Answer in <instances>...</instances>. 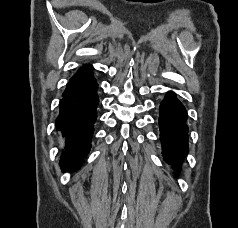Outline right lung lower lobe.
<instances>
[{"label": "right lung lower lobe", "instance_id": "right-lung-lower-lobe-1", "mask_svg": "<svg viewBox=\"0 0 238 228\" xmlns=\"http://www.w3.org/2000/svg\"><path fill=\"white\" fill-rule=\"evenodd\" d=\"M97 87L92 75L70 81L62 94L56 127L65 137L66 146L60 159V166L64 171L80 167L83 158L91 149L93 125L99 103Z\"/></svg>", "mask_w": 238, "mask_h": 228}]
</instances>
